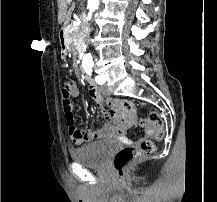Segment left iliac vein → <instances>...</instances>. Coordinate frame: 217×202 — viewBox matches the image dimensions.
<instances>
[{
  "label": "left iliac vein",
  "mask_w": 217,
  "mask_h": 202,
  "mask_svg": "<svg viewBox=\"0 0 217 202\" xmlns=\"http://www.w3.org/2000/svg\"><path fill=\"white\" fill-rule=\"evenodd\" d=\"M100 90H101V93L103 95H110L111 94V92L108 89V86L106 84L104 86H100Z\"/></svg>",
  "instance_id": "4c4485c4"
}]
</instances>
